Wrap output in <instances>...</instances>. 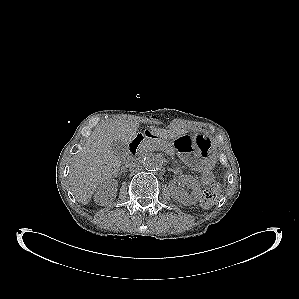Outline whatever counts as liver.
Masks as SVG:
<instances>
[{
  "mask_svg": "<svg viewBox=\"0 0 299 299\" xmlns=\"http://www.w3.org/2000/svg\"><path fill=\"white\" fill-rule=\"evenodd\" d=\"M138 128L136 121L118 120L101 123L93 130L69 172L71 190L78 202L88 204L99 185L117 176L122 162L113 153L112 144L121 141L128 145L136 137ZM150 133L160 139H174L185 131L151 127Z\"/></svg>",
  "mask_w": 299,
  "mask_h": 299,
  "instance_id": "liver-1",
  "label": "liver"
}]
</instances>
